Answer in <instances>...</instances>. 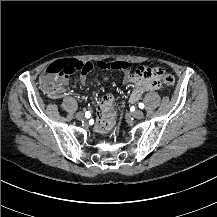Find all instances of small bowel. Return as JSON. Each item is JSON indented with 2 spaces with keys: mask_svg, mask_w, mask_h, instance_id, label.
<instances>
[{
  "mask_svg": "<svg viewBox=\"0 0 217 217\" xmlns=\"http://www.w3.org/2000/svg\"><path fill=\"white\" fill-rule=\"evenodd\" d=\"M129 71V70H128ZM126 71L124 78H123V83L124 84H131L135 83L136 85L130 92L128 96V101L130 103H136L141 95L143 94L145 88L141 86L137 80L135 79L134 75H132L130 72ZM87 80V77L85 74L80 76V82L85 83ZM58 82L61 85L60 91L65 90V85L67 83V79L65 77L58 78ZM114 102V96L110 93L104 94L101 96L100 100L97 102V109L98 111L103 108L111 107V105ZM99 130V129H98ZM100 131V130H99Z\"/></svg>",
  "mask_w": 217,
  "mask_h": 217,
  "instance_id": "obj_1",
  "label": "small bowel"
}]
</instances>
